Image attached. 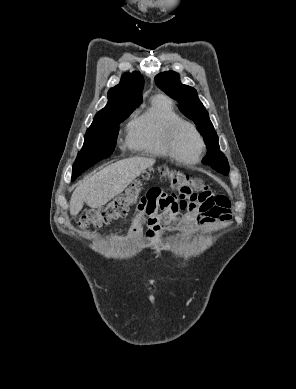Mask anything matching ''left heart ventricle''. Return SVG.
Returning <instances> with one entry per match:
<instances>
[{"label":"left heart ventricle","mask_w":296,"mask_h":389,"mask_svg":"<svg viewBox=\"0 0 296 389\" xmlns=\"http://www.w3.org/2000/svg\"><path fill=\"white\" fill-rule=\"evenodd\" d=\"M175 147L178 155L186 160H193L199 152V142L193 131L182 127L176 135Z\"/></svg>","instance_id":"b2bd125f"}]
</instances>
